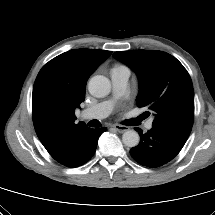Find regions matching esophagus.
Here are the masks:
<instances>
[{"label": "esophagus", "instance_id": "1", "mask_svg": "<svg viewBox=\"0 0 215 215\" xmlns=\"http://www.w3.org/2000/svg\"><path fill=\"white\" fill-rule=\"evenodd\" d=\"M113 128H114L116 131H118L119 133H123V132L129 130V127L124 126V125H119V124L113 125Z\"/></svg>", "mask_w": 215, "mask_h": 215}]
</instances>
